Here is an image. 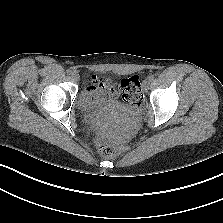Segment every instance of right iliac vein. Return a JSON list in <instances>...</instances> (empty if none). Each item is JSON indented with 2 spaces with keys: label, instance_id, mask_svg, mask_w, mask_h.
Segmentation results:
<instances>
[{
  "label": "right iliac vein",
  "instance_id": "63e3f726",
  "mask_svg": "<svg viewBox=\"0 0 223 223\" xmlns=\"http://www.w3.org/2000/svg\"><path fill=\"white\" fill-rule=\"evenodd\" d=\"M71 76H72L73 80H75V81H78L79 78H80L78 72H76V71H74V72L71 74Z\"/></svg>",
  "mask_w": 223,
  "mask_h": 223
}]
</instances>
